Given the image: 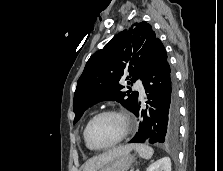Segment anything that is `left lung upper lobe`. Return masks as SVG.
Returning a JSON list of instances; mask_svg holds the SVG:
<instances>
[{
	"instance_id": "5c2ea615",
	"label": "left lung upper lobe",
	"mask_w": 223,
	"mask_h": 171,
	"mask_svg": "<svg viewBox=\"0 0 223 171\" xmlns=\"http://www.w3.org/2000/svg\"><path fill=\"white\" fill-rule=\"evenodd\" d=\"M159 41L150 24L134 23L94 53L77 82L74 124L89 107L104 100L120 102L133 112L138 103V92H123L124 86L119 81L125 78L131 84L142 79ZM125 69L129 72L127 77L124 76Z\"/></svg>"
}]
</instances>
